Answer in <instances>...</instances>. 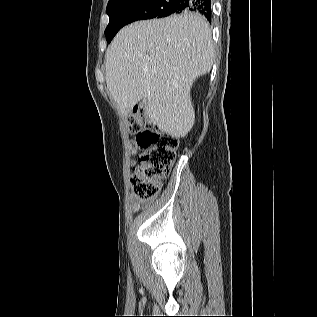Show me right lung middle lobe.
Here are the masks:
<instances>
[{"instance_id": "dd1d6c3e", "label": "right lung middle lobe", "mask_w": 317, "mask_h": 317, "mask_svg": "<svg viewBox=\"0 0 317 317\" xmlns=\"http://www.w3.org/2000/svg\"><path fill=\"white\" fill-rule=\"evenodd\" d=\"M175 0H110L107 5L109 24L105 30L108 43L125 25L151 18H161L176 13ZM189 12L184 11L183 14Z\"/></svg>"}]
</instances>
